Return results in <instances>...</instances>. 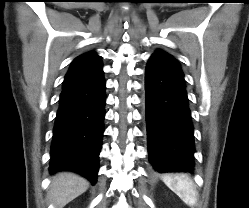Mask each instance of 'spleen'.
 <instances>
[{"instance_id":"3e777b00","label":"spleen","mask_w":249,"mask_h":208,"mask_svg":"<svg viewBox=\"0 0 249 208\" xmlns=\"http://www.w3.org/2000/svg\"><path fill=\"white\" fill-rule=\"evenodd\" d=\"M164 183L174 192L184 203L193 206L196 203V190L193 181L185 176L167 175L163 178Z\"/></svg>"}]
</instances>
